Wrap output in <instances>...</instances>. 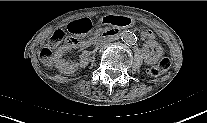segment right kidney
Wrapping results in <instances>:
<instances>
[{
	"label": "right kidney",
	"mask_w": 207,
	"mask_h": 123,
	"mask_svg": "<svg viewBox=\"0 0 207 123\" xmlns=\"http://www.w3.org/2000/svg\"><path fill=\"white\" fill-rule=\"evenodd\" d=\"M66 52L65 47H59L55 52H54V59H55V66L56 68L64 74H69L73 72L74 67L71 63L65 61L62 56Z\"/></svg>",
	"instance_id": "ca27d5eb"
}]
</instances>
